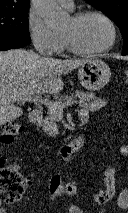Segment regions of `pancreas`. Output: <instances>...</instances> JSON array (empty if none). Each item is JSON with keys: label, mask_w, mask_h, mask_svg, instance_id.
<instances>
[{"label": "pancreas", "mask_w": 128, "mask_h": 213, "mask_svg": "<svg viewBox=\"0 0 128 213\" xmlns=\"http://www.w3.org/2000/svg\"><path fill=\"white\" fill-rule=\"evenodd\" d=\"M79 98L78 104L80 107L89 108L90 101L93 99V95L89 93H84L81 91H76L75 95H71L69 97H61L57 102L63 104L68 100H73V98ZM62 118V112L59 110L48 109V116L44 119V123L42 125L44 132H46L49 136H56L59 134L57 122H60Z\"/></svg>", "instance_id": "pancreas-1"}]
</instances>
